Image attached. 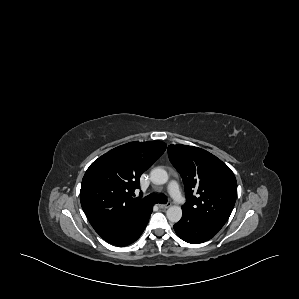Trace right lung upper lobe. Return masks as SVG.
I'll list each match as a JSON object with an SVG mask.
<instances>
[{
    "label": "right lung upper lobe",
    "mask_w": 299,
    "mask_h": 299,
    "mask_svg": "<svg viewBox=\"0 0 299 299\" xmlns=\"http://www.w3.org/2000/svg\"><path fill=\"white\" fill-rule=\"evenodd\" d=\"M161 141L130 142L94 161L81 185L82 208L96 232L137 221L153 206L133 198L139 179L165 151Z\"/></svg>",
    "instance_id": "obj_1"
}]
</instances>
